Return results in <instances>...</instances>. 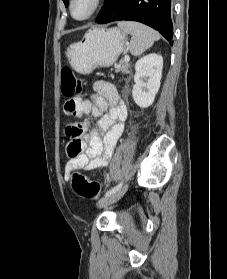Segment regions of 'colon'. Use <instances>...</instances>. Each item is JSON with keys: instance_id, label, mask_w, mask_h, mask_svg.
<instances>
[{"instance_id": "colon-1", "label": "colon", "mask_w": 227, "mask_h": 279, "mask_svg": "<svg viewBox=\"0 0 227 279\" xmlns=\"http://www.w3.org/2000/svg\"><path fill=\"white\" fill-rule=\"evenodd\" d=\"M62 76V95L66 99L64 111L67 115H75L79 104V93L82 83L78 76L69 68H63ZM80 130L72 126L66 128V135L74 138L79 134ZM67 155L71 158L76 157L80 153V145L77 142H70L66 147ZM72 188L75 193L83 199L91 200L96 198L101 192V186L97 181L89 179L81 173H73L71 177Z\"/></svg>"}]
</instances>
